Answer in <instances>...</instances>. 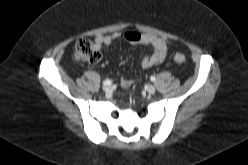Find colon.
I'll return each instance as SVG.
<instances>
[{
	"mask_svg": "<svg viewBox=\"0 0 248 165\" xmlns=\"http://www.w3.org/2000/svg\"><path fill=\"white\" fill-rule=\"evenodd\" d=\"M74 59L81 64H94L99 61L100 52L96 49L91 40L82 38L76 42ZM174 60L181 64L186 61V57L182 53H177L174 56Z\"/></svg>",
	"mask_w": 248,
	"mask_h": 165,
	"instance_id": "5ec220e1",
	"label": "colon"
}]
</instances>
